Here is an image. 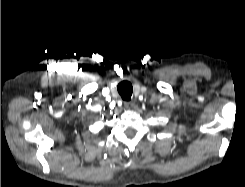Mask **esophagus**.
<instances>
[{"label":"esophagus","mask_w":245,"mask_h":187,"mask_svg":"<svg viewBox=\"0 0 245 187\" xmlns=\"http://www.w3.org/2000/svg\"><path fill=\"white\" fill-rule=\"evenodd\" d=\"M124 106L126 109L131 110L133 108V102L132 101H125Z\"/></svg>","instance_id":"esophagus-1"}]
</instances>
